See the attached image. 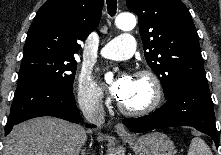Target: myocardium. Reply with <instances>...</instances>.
Segmentation results:
<instances>
[{"mask_svg": "<svg viewBox=\"0 0 221 155\" xmlns=\"http://www.w3.org/2000/svg\"><path fill=\"white\" fill-rule=\"evenodd\" d=\"M135 77L147 79L152 86V98L150 102L141 108H129L121 101L118 103L120 110L130 116H144L153 112L161 103L163 97V88L158 76L150 70H139Z\"/></svg>", "mask_w": 221, "mask_h": 155, "instance_id": "myocardium-1", "label": "myocardium"}]
</instances>
